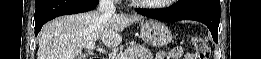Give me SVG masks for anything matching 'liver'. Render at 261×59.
I'll use <instances>...</instances> for the list:
<instances>
[{"label": "liver", "instance_id": "obj_1", "mask_svg": "<svg viewBox=\"0 0 261 59\" xmlns=\"http://www.w3.org/2000/svg\"><path fill=\"white\" fill-rule=\"evenodd\" d=\"M141 19L125 14L108 18L97 10L58 17L41 29L37 59H77L83 48L98 39L116 47L122 42L120 32Z\"/></svg>", "mask_w": 261, "mask_h": 59}]
</instances>
